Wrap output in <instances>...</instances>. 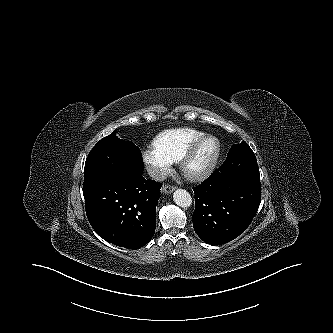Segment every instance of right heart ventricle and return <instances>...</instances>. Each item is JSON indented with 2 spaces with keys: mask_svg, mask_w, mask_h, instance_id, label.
<instances>
[{
  "mask_svg": "<svg viewBox=\"0 0 333 333\" xmlns=\"http://www.w3.org/2000/svg\"><path fill=\"white\" fill-rule=\"evenodd\" d=\"M205 135L191 128L166 130L153 141V149L172 162H179L189 147Z\"/></svg>",
  "mask_w": 333,
  "mask_h": 333,
  "instance_id": "obj_1",
  "label": "right heart ventricle"
}]
</instances>
